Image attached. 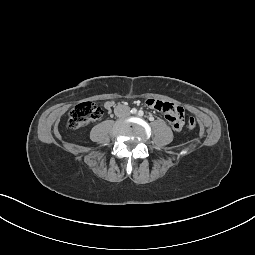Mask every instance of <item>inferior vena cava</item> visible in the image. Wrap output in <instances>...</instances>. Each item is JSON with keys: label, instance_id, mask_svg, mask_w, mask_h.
<instances>
[{"label": "inferior vena cava", "instance_id": "inferior-vena-cava-1", "mask_svg": "<svg viewBox=\"0 0 255 255\" xmlns=\"http://www.w3.org/2000/svg\"><path fill=\"white\" fill-rule=\"evenodd\" d=\"M120 111H123L124 115H128L129 114V107L124 106V105H119V106H117L116 111H115L118 116H121Z\"/></svg>", "mask_w": 255, "mask_h": 255}]
</instances>
